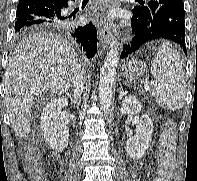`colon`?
Listing matches in <instances>:
<instances>
[{
    "label": "colon",
    "mask_w": 197,
    "mask_h": 181,
    "mask_svg": "<svg viewBox=\"0 0 197 181\" xmlns=\"http://www.w3.org/2000/svg\"><path fill=\"white\" fill-rule=\"evenodd\" d=\"M175 138L174 125L167 123L164 126L158 150V171L152 181H171L174 169L173 146ZM25 168L37 180L43 179L44 173L36 149L31 148L28 150Z\"/></svg>",
    "instance_id": "5ec220e1"
}]
</instances>
